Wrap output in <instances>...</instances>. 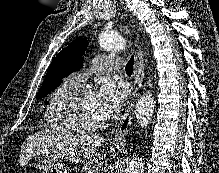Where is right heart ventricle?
Masks as SVG:
<instances>
[{"instance_id": "1", "label": "right heart ventricle", "mask_w": 219, "mask_h": 173, "mask_svg": "<svg viewBox=\"0 0 219 173\" xmlns=\"http://www.w3.org/2000/svg\"><path fill=\"white\" fill-rule=\"evenodd\" d=\"M80 90V86L66 79L51 93L44 110V121L47 130L67 135L80 132L68 119L67 103Z\"/></svg>"}]
</instances>
